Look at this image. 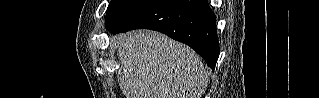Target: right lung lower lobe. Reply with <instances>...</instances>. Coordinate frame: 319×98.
Masks as SVG:
<instances>
[{
  "mask_svg": "<svg viewBox=\"0 0 319 98\" xmlns=\"http://www.w3.org/2000/svg\"><path fill=\"white\" fill-rule=\"evenodd\" d=\"M111 33L151 29L193 48L214 70L219 56L216 17L207 0H148L113 26Z\"/></svg>",
  "mask_w": 319,
  "mask_h": 98,
  "instance_id": "1",
  "label": "right lung lower lobe"
}]
</instances>
